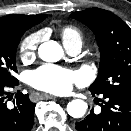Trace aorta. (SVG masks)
<instances>
[{"instance_id":"aorta-1","label":"aorta","mask_w":131,"mask_h":131,"mask_svg":"<svg viewBox=\"0 0 131 131\" xmlns=\"http://www.w3.org/2000/svg\"><path fill=\"white\" fill-rule=\"evenodd\" d=\"M38 54L46 62H56L63 56V50L56 41H48L39 46ZM87 108V103L81 99H74L67 105L68 114L73 118L83 117Z\"/></svg>"}]
</instances>
